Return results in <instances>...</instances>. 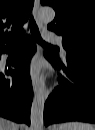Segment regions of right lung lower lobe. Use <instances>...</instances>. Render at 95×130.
<instances>
[{
    "label": "right lung lower lobe",
    "mask_w": 95,
    "mask_h": 130,
    "mask_svg": "<svg viewBox=\"0 0 95 130\" xmlns=\"http://www.w3.org/2000/svg\"><path fill=\"white\" fill-rule=\"evenodd\" d=\"M9 49L0 51V55ZM36 47L28 36L12 65L15 70H0V115L16 122L30 124V107L33 98L29 76V61ZM8 76H12L8 79Z\"/></svg>",
    "instance_id": "98d812e1"
}]
</instances>
